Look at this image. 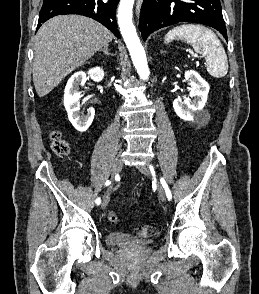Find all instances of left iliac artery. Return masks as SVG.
<instances>
[{"label":"left iliac artery","instance_id":"obj_1","mask_svg":"<svg viewBox=\"0 0 259 294\" xmlns=\"http://www.w3.org/2000/svg\"><path fill=\"white\" fill-rule=\"evenodd\" d=\"M150 170L153 171L152 166H150ZM160 182H161V184H162V186H163V188L165 190V193H166V196H167L168 200H171L172 199V194H171V191H170L166 181L164 180V178H161Z\"/></svg>","mask_w":259,"mask_h":294}]
</instances>
